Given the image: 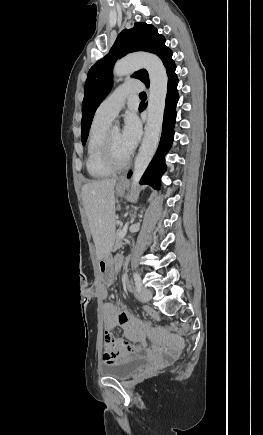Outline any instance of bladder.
<instances>
[{
	"label": "bladder",
	"instance_id": "obj_1",
	"mask_svg": "<svg viewBox=\"0 0 263 435\" xmlns=\"http://www.w3.org/2000/svg\"><path fill=\"white\" fill-rule=\"evenodd\" d=\"M147 363L148 359L145 357L132 356L122 361L105 363L101 366L100 373L105 377L126 380L144 368Z\"/></svg>",
	"mask_w": 263,
	"mask_h": 435
}]
</instances>
